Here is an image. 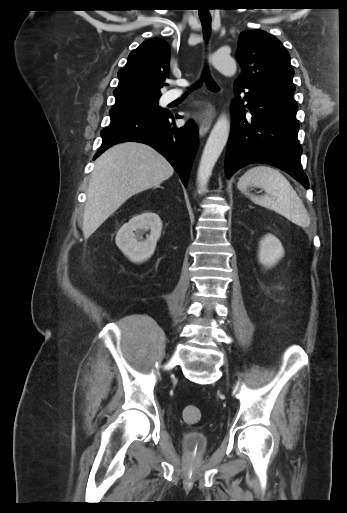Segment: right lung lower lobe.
Masks as SVG:
<instances>
[{
    "instance_id": "1",
    "label": "right lung lower lobe",
    "mask_w": 347,
    "mask_h": 513,
    "mask_svg": "<svg viewBox=\"0 0 347 513\" xmlns=\"http://www.w3.org/2000/svg\"><path fill=\"white\" fill-rule=\"evenodd\" d=\"M180 118V116H176ZM175 117L164 111L159 114H134L111 119L101 131L102 145L94 159L120 142L135 141L152 146L174 167L187 186L190 170L198 150V133L193 122L177 128Z\"/></svg>"
}]
</instances>
